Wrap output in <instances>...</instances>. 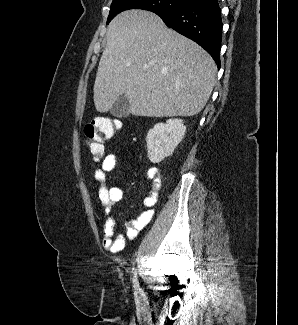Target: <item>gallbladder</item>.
<instances>
[{
	"instance_id": "obj_1",
	"label": "gallbladder",
	"mask_w": 298,
	"mask_h": 325,
	"mask_svg": "<svg viewBox=\"0 0 298 325\" xmlns=\"http://www.w3.org/2000/svg\"><path fill=\"white\" fill-rule=\"evenodd\" d=\"M111 114L117 116V118H123V116H129V100L126 96H118L113 106L110 108Z\"/></svg>"
}]
</instances>
